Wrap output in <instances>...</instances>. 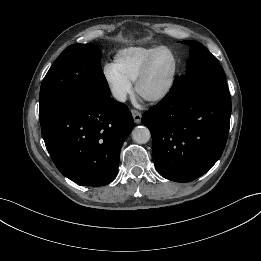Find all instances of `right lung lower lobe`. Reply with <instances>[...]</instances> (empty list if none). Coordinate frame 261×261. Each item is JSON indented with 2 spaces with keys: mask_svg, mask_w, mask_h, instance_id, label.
I'll use <instances>...</instances> for the list:
<instances>
[{
  "mask_svg": "<svg viewBox=\"0 0 261 261\" xmlns=\"http://www.w3.org/2000/svg\"><path fill=\"white\" fill-rule=\"evenodd\" d=\"M42 136L59 171L86 186L115 178L120 149L134 127L126 105L109 99H83L40 122Z\"/></svg>",
  "mask_w": 261,
  "mask_h": 261,
  "instance_id": "right-lung-lower-lobe-1",
  "label": "right lung lower lobe"
}]
</instances>
